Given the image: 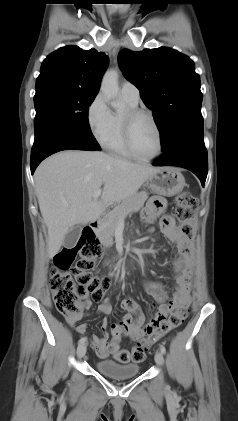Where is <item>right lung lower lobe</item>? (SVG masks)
<instances>
[{
    "label": "right lung lower lobe",
    "instance_id": "obj_1",
    "mask_svg": "<svg viewBox=\"0 0 238 421\" xmlns=\"http://www.w3.org/2000/svg\"><path fill=\"white\" fill-rule=\"evenodd\" d=\"M70 149L94 151L100 148L90 144L58 123L48 122L44 124L35 134L31 152V174L46 157Z\"/></svg>",
    "mask_w": 238,
    "mask_h": 421
}]
</instances>
